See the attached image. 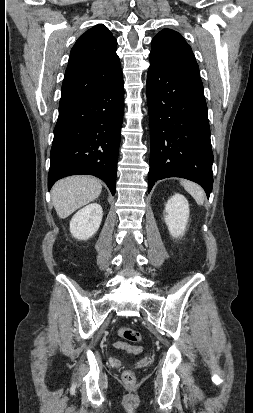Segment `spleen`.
<instances>
[{
	"label": "spleen",
	"instance_id": "3e777b00",
	"mask_svg": "<svg viewBox=\"0 0 253 413\" xmlns=\"http://www.w3.org/2000/svg\"><path fill=\"white\" fill-rule=\"evenodd\" d=\"M181 185L195 199L198 205L202 206L204 204L205 193L201 186L188 180H182Z\"/></svg>",
	"mask_w": 253,
	"mask_h": 413
}]
</instances>
